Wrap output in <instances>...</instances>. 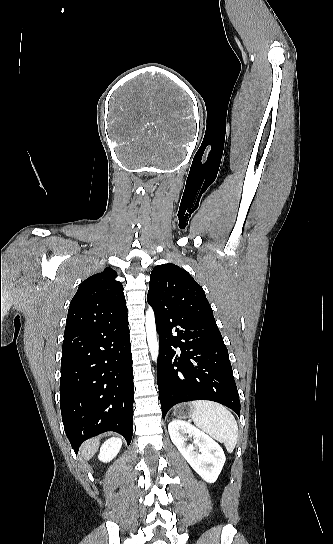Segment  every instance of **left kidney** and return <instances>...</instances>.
<instances>
[{
	"label": "left kidney",
	"instance_id": "obj_1",
	"mask_svg": "<svg viewBox=\"0 0 333 544\" xmlns=\"http://www.w3.org/2000/svg\"><path fill=\"white\" fill-rule=\"evenodd\" d=\"M173 444L178 448L190 466L208 483L217 480L225 463L221 446L207 434L181 420H173L168 425ZM193 436V443L187 441ZM198 449L197 451H195Z\"/></svg>",
	"mask_w": 333,
	"mask_h": 544
}]
</instances>
